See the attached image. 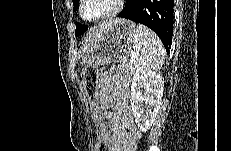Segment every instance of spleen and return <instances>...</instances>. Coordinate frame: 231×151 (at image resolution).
<instances>
[{"mask_svg":"<svg viewBox=\"0 0 231 151\" xmlns=\"http://www.w3.org/2000/svg\"><path fill=\"white\" fill-rule=\"evenodd\" d=\"M133 49L137 67L159 71L164 63L165 50L158 36L144 25L134 31Z\"/></svg>","mask_w":231,"mask_h":151,"instance_id":"spleen-1","label":"spleen"}]
</instances>
